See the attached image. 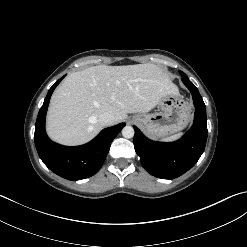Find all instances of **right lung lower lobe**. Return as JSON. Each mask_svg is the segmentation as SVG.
I'll return each instance as SVG.
<instances>
[{
    "label": "right lung lower lobe",
    "mask_w": 247,
    "mask_h": 247,
    "mask_svg": "<svg viewBox=\"0 0 247 247\" xmlns=\"http://www.w3.org/2000/svg\"><path fill=\"white\" fill-rule=\"evenodd\" d=\"M63 78L64 76L49 89L40 108L35 125L34 140L39 157L52 172L68 180H81L91 177L99 171L112 141L125 124L120 123L104 129L92 141L82 146L67 147L52 142L45 132V117L50 97Z\"/></svg>",
    "instance_id": "right-lung-lower-lobe-1"
}]
</instances>
